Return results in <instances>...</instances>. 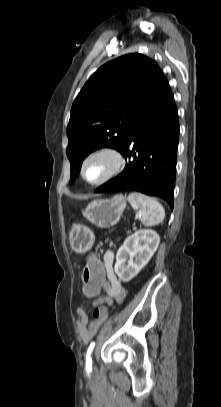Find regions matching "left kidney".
Masks as SVG:
<instances>
[{
    "instance_id": "obj_1",
    "label": "left kidney",
    "mask_w": 221,
    "mask_h": 407,
    "mask_svg": "<svg viewBox=\"0 0 221 407\" xmlns=\"http://www.w3.org/2000/svg\"><path fill=\"white\" fill-rule=\"evenodd\" d=\"M160 236L142 229L128 236L116 254L115 273L123 282L134 278L149 262L158 248Z\"/></svg>"
}]
</instances>
